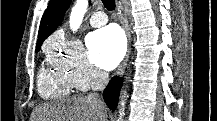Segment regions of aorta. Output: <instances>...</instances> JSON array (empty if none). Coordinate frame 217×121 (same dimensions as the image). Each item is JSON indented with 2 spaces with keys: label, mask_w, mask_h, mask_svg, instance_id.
I'll use <instances>...</instances> for the list:
<instances>
[{
  "label": "aorta",
  "mask_w": 217,
  "mask_h": 121,
  "mask_svg": "<svg viewBox=\"0 0 217 121\" xmlns=\"http://www.w3.org/2000/svg\"><path fill=\"white\" fill-rule=\"evenodd\" d=\"M88 7V0H77L75 6L72 8L71 14H70V27L73 31H76L82 21L84 14ZM122 106H124V102L122 101ZM124 114L123 112H120V119L118 121H121V116Z\"/></svg>",
  "instance_id": "1"
}]
</instances>
